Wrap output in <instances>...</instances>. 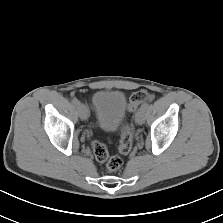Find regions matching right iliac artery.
I'll return each mask as SVG.
<instances>
[{
    "label": "right iliac artery",
    "instance_id": "right-iliac-artery-1",
    "mask_svg": "<svg viewBox=\"0 0 223 223\" xmlns=\"http://www.w3.org/2000/svg\"><path fill=\"white\" fill-rule=\"evenodd\" d=\"M72 103H73L75 106H77L80 102L78 101L77 98H73V99H72Z\"/></svg>",
    "mask_w": 223,
    "mask_h": 223
}]
</instances>
